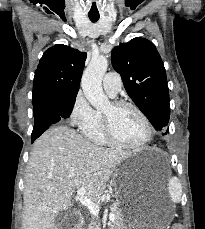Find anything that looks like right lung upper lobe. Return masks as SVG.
Instances as JSON below:
<instances>
[{
	"label": "right lung upper lobe",
	"mask_w": 205,
	"mask_h": 229,
	"mask_svg": "<svg viewBox=\"0 0 205 229\" xmlns=\"http://www.w3.org/2000/svg\"><path fill=\"white\" fill-rule=\"evenodd\" d=\"M86 52L57 44L40 59L33 82V101L78 93Z\"/></svg>",
	"instance_id": "cb5924a9"
}]
</instances>
